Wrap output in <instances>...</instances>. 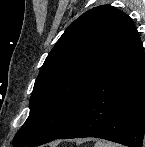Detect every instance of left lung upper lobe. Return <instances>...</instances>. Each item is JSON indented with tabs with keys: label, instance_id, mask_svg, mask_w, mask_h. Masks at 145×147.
Here are the masks:
<instances>
[{
	"label": "left lung upper lobe",
	"instance_id": "left-lung-upper-lobe-1",
	"mask_svg": "<svg viewBox=\"0 0 145 147\" xmlns=\"http://www.w3.org/2000/svg\"><path fill=\"white\" fill-rule=\"evenodd\" d=\"M126 18L115 7L102 5L67 27L40 69L29 117L13 139L15 147L45 144L69 128Z\"/></svg>",
	"mask_w": 145,
	"mask_h": 147
}]
</instances>
